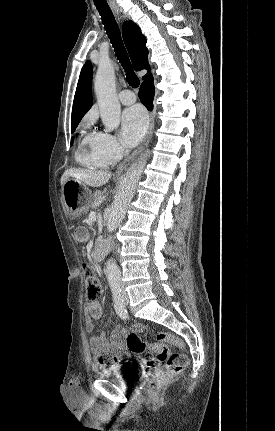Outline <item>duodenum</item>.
I'll list each match as a JSON object with an SVG mask.
<instances>
[{
  "instance_id": "1",
  "label": "duodenum",
  "mask_w": 275,
  "mask_h": 431,
  "mask_svg": "<svg viewBox=\"0 0 275 431\" xmlns=\"http://www.w3.org/2000/svg\"><path fill=\"white\" fill-rule=\"evenodd\" d=\"M110 249V244L104 240L99 239L94 247L93 256L96 261H101L104 259L105 255Z\"/></svg>"
}]
</instances>
